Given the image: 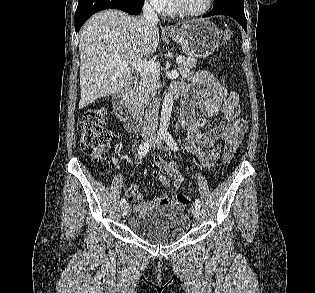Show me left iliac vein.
Masks as SVG:
<instances>
[{
	"mask_svg": "<svg viewBox=\"0 0 315 293\" xmlns=\"http://www.w3.org/2000/svg\"><path fill=\"white\" fill-rule=\"evenodd\" d=\"M154 147L160 149V150H165V147L162 145L161 141L157 140L155 141V144L153 145ZM192 215L195 219H199L201 215V210L200 207H198L196 204L192 206Z\"/></svg>",
	"mask_w": 315,
	"mask_h": 293,
	"instance_id": "left-iliac-vein-1",
	"label": "left iliac vein"
}]
</instances>
